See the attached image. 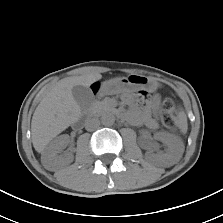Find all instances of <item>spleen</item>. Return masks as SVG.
<instances>
[{
  "mask_svg": "<svg viewBox=\"0 0 223 223\" xmlns=\"http://www.w3.org/2000/svg\"><path fill=\"white\" fill-rule=\"evenodd\" d=\"M178 118H179V122H180V125H181V128H182V131H186V129H187V119H186L185 113L183 111H180L179 115H178Z\"/></svg>",
  "mask_w": 223,
  "mask_h": 223,
  "instance_id": "spleen-1",
  "label": "spleen"
}]
</instances>
